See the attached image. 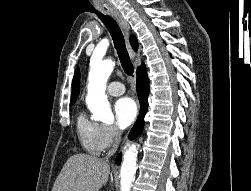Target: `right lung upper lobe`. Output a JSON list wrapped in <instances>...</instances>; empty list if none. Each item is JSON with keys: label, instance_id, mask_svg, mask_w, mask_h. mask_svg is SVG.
<instances>
[{"label": "right lung upper lobe", "instance_id": "obj_1", "mask_svg": "<svg viewBox=\"0 0 251 191\" xmlns=\"http://www.w3.org/2000/svg\"><path fill=\"white\" fill-rule=\"evenodd\" d=\"M130 42H131L133 49L137 50L138 49V42H137V39L135 36H131ZM146 73H147V71H146L144 64H142L140 67L137 68V72H136L137 77L140 75H144ZM79 87H80V72H79V69L77 68L75 71V74H74L73 82H72V94H71V103L70 104H74L75 101L77 100L78 95H79Z\"/></svg>", "mask_w": 251, "mask_h": 191}]
</instances>
